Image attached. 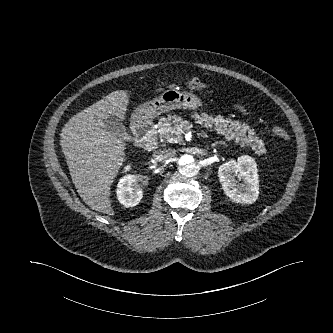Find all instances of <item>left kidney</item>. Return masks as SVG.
<instances>
[{"instance_id": "5707ae66", "label": "left kidney", "mask_w": 333, "mask_h": 333, "mask_svg": "<svg viewBox=\"0 0 333 333\" xmlns=\"http://www.w3.org/2000/svg\"><path fill=\"white\" fill-rule=\"evenodd\" d=\"M218 177L224 193L233 201L252 204L257 200L258 169L252 157L244 155L239 157L237 162L231 160L222 164L218 170Z\"/></svg>"}]
</instances>
